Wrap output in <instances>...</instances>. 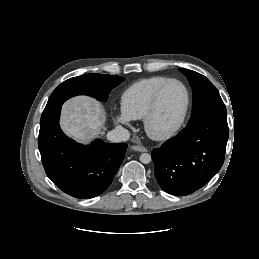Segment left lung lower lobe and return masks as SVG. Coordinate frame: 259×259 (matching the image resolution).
Listing matches in <instances>:
<instances>
[{
  "label": "left lung lower lobe",
  "mask_w": 259,
  "mask_h": 259,
  "mask_svg": "<svg viewBox=\"0 0 259 259\" xmlns=\"http://www.w3.org/2000/svg\"><path fill=\"white\" fill-rule=\"evenodd\" d=\"M228 135L227 114H211L155 148L151 155L161 188L182 196L207 184L224 162Z\"/></svg>",
  "instance_id": "1"
}]
</instances>
